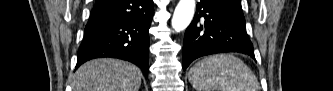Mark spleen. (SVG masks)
Segmentation results:
<instances>
[{
    "label": "spleen",
    "instance_id": "3e777b00",
    "mask_svg": "<svg viewBox=\"0 0 333 91\" xmlns=\"http://www.w3.org/2000/svg\"><path fill=\"white\" fill-rule=\"evenodd\" d=\"M188 79L196 91H260L252 70L232 54H217L195 63Z\"/></svg>",
    "mask_w": 333,
    "mask_h": 91
}]
</instances>
